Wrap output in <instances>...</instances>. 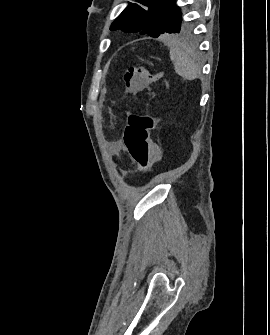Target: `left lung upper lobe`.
I'll return each instance as SVG.
<instances>
[{"label":"left lung upper lobe","instance_id":"left-lung-upper-lobe-1","mask_svg":"<svg viewBox=\"0 0 270 335\" xmlns=\"http://www.w3.org/2000/svg\"><path fill=\"white\" fill-rule=\"evenodd\" d=\"M129 4L112 23L110 30L122 29L127 33L141 32L152 37L159 34H186L190 25L183 20L176 0H136Z\"/></svg>","mask_w":270,"mask_h":335}]
</instances>
